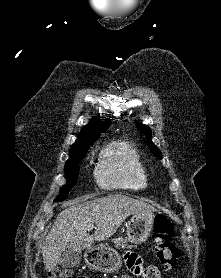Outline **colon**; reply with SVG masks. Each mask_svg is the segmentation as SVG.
<instances>
[{"label":"colon","mask_w":221,"mask_h":278,"mask_svg":"<svg viewBox=\"0 0 221 278\" xmlns=\"http://www.w3.org/2000/svg\"><path fill=\"white\" fill-rule=\"evenodd\" d=\"M174 227L171 221L162 214H158L154 219V227L152 233L153 250L156 254L160 265L164 269L174 268L180 258V251L172 243ZM159 270L157 267H148V276L157 278ZM72 272L67 268H57L50 272L48 278H72ZM76 278H88L86 276H78Z\"/></svg>","instance_id":"colon-1"}]
</instances>
